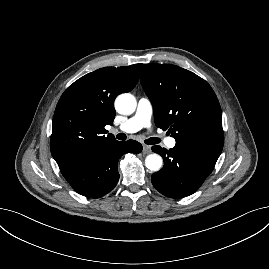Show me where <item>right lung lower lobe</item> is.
<instances>
[{"instance_id": "right-lung-lower-lobe-1", "label": "right lung lower lobe", "mask_w": 269, "mask_h": 269, "mask_svg": "<svg viewBox=\"0 0 269 269\" xmlns=\"http://www.w3.org/2000/svg\"><path fill=\"white\" fill-rule=\"evenodd\" d=\"M141 151L142 145L137 141L116 140L61 167L60 171L76 192L88 198H100L116 186L119 180L117 163L121 156Z\"/></svg>"}]
</instances>
